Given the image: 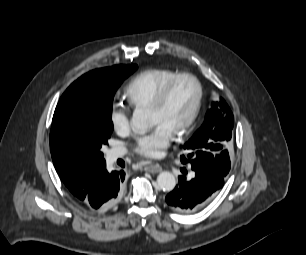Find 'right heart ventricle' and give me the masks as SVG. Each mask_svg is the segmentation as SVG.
<instances>
[{
    "mask_svg": "<svg viewBox=\"0 0 306 255\" xmlns=\"http://www.w3.org/2000/svg\"><path fill=\"white\" fill-rule=\"evenodd\" d=\"M179 72L165 68H151L138 73L126 86L129 104L136 109L148 108L160 90Z\"/></svg>",
    "mask_w": 306,
    "mask_h": 255,
    "instance_id": "right-heart-ventricle-1",
    "label": "right heart ventricle"
}]
</instances>
